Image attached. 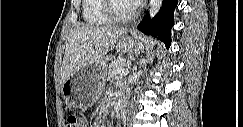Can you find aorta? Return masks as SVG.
Wrapping results in <instances>:
<instances>
[{
    "mask_svg": "<svg viewBox=\"0 0 243 127\" xmlns=\"http://www.w3.org/2000/svg\"><path fill=\"white\" fill-rule=\"evenodd\" d=\"M161 4H162V0H150L149 13L151 18H153L156 15V13L159 11Z\"/></svg>",
    "mask_w": 243,
    "mask_h": 127,
    "instance_id": "1",
    "label": "aorta"
}]
</instances>
